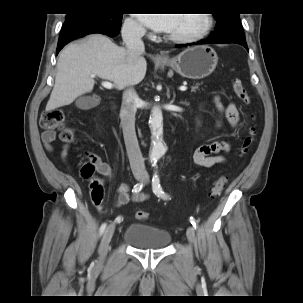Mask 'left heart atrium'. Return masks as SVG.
<instances>
[{"label": "left heart atrium", "instance_id": "1", "mask_svg": "<svg viewBox=\"0 0 303 303\" xmlns=\"http://www.w3.org/2000/svg\"><path fill=\"white\" fill-rule=\"evenodd\" d=\"M139 19L149 28L158 32H170L176 14H138Z\"/></svg>", "mask_w": 303, "mask_h": 303}]
</instances>
